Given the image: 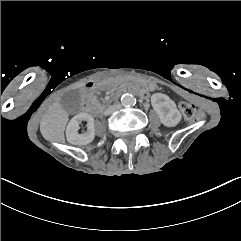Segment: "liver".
<instances>
[{"label": "liver", "instance_id": "1", "mask_svg": "<svg viewBox=\"0 0 241 241\" xmlns=\"http://www.w3.org/2000/svg\"><path fill=\"white\" fill-rule=\"evenodd\" d=\"M81 83L79 87L83 86ZM68 122V114L59 102L53 103L45 112L40 123L42 136L51 142L64 143V130Z\"/></svg>", "mask_w": 241, "mask_h": 241}]
</instances>
